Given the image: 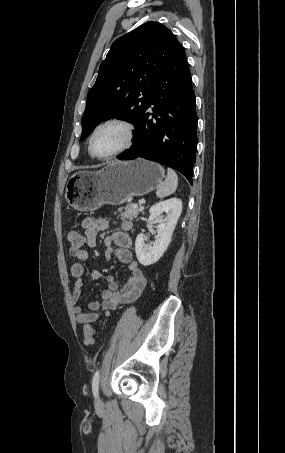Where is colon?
I'll list each match as a JSON object with an SVG mask.
<instances>
[{"label":"colon","mask_w":285,"mask_h":453,"mask_svg":"<svg viewBox=\"0 0 285 453\" xmlns=\"http://www.w3.org/2000/svg\"><path fill=\"white\" fill-rule=\"evenodd\" d=\"M67 242L69 244V252L72 256H77L84 250L85 236L78 230H72L67 235ZM84 343L87 346L93 345L95 341V330L90 325H85L83 328Z\"/></svg>","instance_id":"colon-1"}]
</instances>
